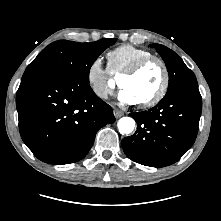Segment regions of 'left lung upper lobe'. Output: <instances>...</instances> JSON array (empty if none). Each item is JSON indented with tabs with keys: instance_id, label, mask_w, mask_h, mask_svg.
<instances>
[{
	"instance_id": "5c2ea615",
	"label": "left lung upper lobe",
	"mask_w": 221,
	"mask_h": 221,
	"mask_svg": "<svg viewBox=\"0 0 221 221\" xmlns=\"http://www.w3.org/2000/svg\"><path fill=\"white\" fill-rule=\"evenodd\" d=\"M150 46L156 48L164 60L169 73V86L166 95L184 87H198L194 73L174 51L159 44H152Z\"/></svg>"
}]
</instances>
